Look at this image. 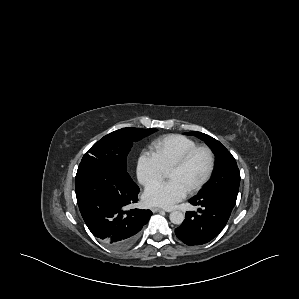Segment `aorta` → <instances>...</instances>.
Returning <instances> with one entry per match:
<instances>
[{"mask_svg": "<svg viewBox=\"0 0 299 299\" xmlns=\"http://www.w3.org/2000/svg\"><path fill=\"white\" fill-rule=\"evenodd\" d=\"M169 219L171 223L180 225L185 219V215L181 211H173L170 213Z\"/></svg>", "mask_w": 299, "mask_h": 299, "instance_id": "obj_1", "label": "aorta"}]
</instances>
